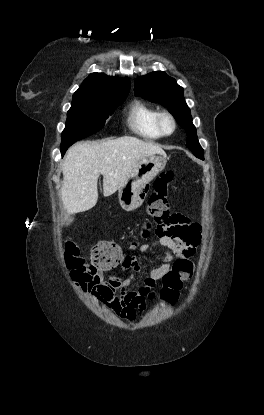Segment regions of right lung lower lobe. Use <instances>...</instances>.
Here are the masks:
<instances>
[{
	"label": "right lung lower lobe",
	"instance_id": "98d812e1",
	"mask_svg": "<svg viewBox=\"0 0 264 415\" xmlns=\"http://www.w3.org/2000/svg\"><path fill=\"white\" fill-rule=\"evenodd\" d=\"M66 150H67V149L61 150V154H62V156L65 154Z\"/></svg>",
	"mask_w": 264,
	"mask_h": 415
}]
</instances>
